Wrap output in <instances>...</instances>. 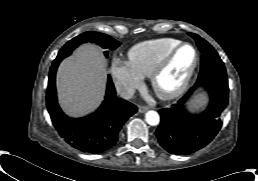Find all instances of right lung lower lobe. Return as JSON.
Wrapping results in <instances>:
<instances>
[{"mask_svg": "<svg viewBox=\"0 0 258 181\" xmlns=\"http://www.w3.org/2000/svg\"><path fill=\"white\" fill-rule=\"evenodd\" d=\"M61 61V58H56L49 72L46 100L52 122L60 136L75 149L103 153L117 142L121 127L136 113L137 108L116 96L111 77L108 76L105 100L97 111L81 119L66 116L57 103L55 86L56 70Z\"/></svg>", "mask_w": 258, "mask_h": 181, "instance_id": "1", "label": "right lung lower lobe"}]
</instances>
